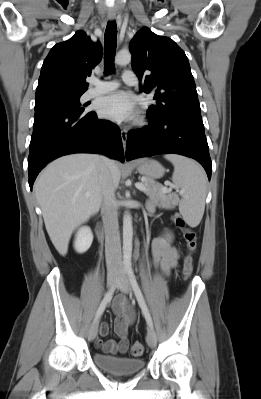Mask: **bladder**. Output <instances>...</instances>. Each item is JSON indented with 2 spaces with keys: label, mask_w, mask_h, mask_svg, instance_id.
I'll return each mask as SVG.
<instances>
[{
  "label": "bladder",
  "mask_w": 261,
  "mask_h": 399,
  "mask_svg": "<svg viewBox=\"0 0 261 399\" xmlns=\"http://www.w3.org/2000/svg\"><path fill=\"white\" fill-rule=\"evenodd\" d=\"M93 361L102 370L118 375H133L144 367L142 359L108 356L100 353L93 354Z\"/></svg>",
  "instance_id": "1"
}]
</instances>
